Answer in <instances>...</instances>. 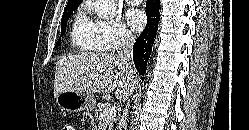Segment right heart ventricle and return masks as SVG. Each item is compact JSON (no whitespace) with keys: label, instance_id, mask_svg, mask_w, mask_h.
<instances>
[{"label":"right heart ventricle","instance_id":"right-heart-ventricle-1","mask_svg":"<svg viewBox=\"0 0 249 130\" xmlns=\"http://www.w3.org/2000/svg\"><path fill=\"white\" fill-rule=\"evenodd\" d=\"M70 39L72 46L79 51L102 50L96 23L88 18L85 10H81L76 15L71 27Z\"/></svg>","mask_w":249,"mask_h":130}]
</instances>
